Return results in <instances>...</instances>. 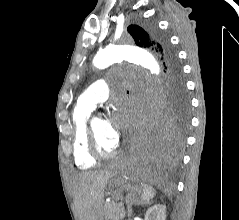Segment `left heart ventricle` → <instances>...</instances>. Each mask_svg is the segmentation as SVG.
<instances>
[{
  "label": "left heart ventricle",
  "instance_id": "b2bd125f",
  "mask_svg": "<svg viewBox=\"0 0 239 220\" xmlns=\"http://www.w3.org/2000/svg\"><path fill=\"white\" fill-rule=\"evenodd\" d=\"M93 129L100 148L103 151H109L113 149L117 142L112 139L107 133V122L100 118L93 120Z\"/></svg>",
  "mask_w": 239,
  "mask_h": 220
}]
</instances>
